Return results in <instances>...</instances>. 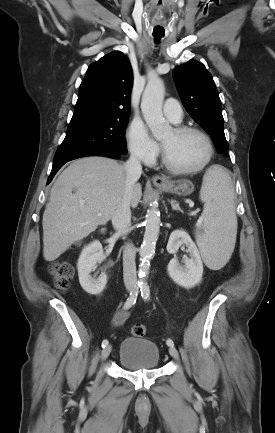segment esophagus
Wrapping results in <instances>:
<instances>
[{
  "instance_id": "esophagus-1",
  "label": "esophagus",
  "mask_w": 275,
  "mask_h": 433,
  "mask_svg": "<svg viewBox=\"0 0 275 433\" xmlns=\"http://www.w3.org/2000/svg\"><path fill=\"white\" fill-rule=\"evenodd\" d=\"M152 181H153V183H154L156 186H163V185H166V184L168 183V180H167L166 177H164V176H159V175H155V176L152 178Z\"/></svg>"
}]
</instances>
